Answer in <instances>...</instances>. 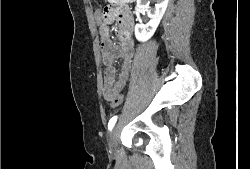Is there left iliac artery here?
<instances>
[{
  "mask_svg": "<svg viewBox=\"0 0 250 169\" xmlns=\"http://www.w3.org/2000/svg\"><path fill=\"white\" fill-rule=\"evenodd\" d=\"M117 121V116L112 117L108 123V130L111 131Z\"/></svg>",
  "mask_w": 250,
  "mask_h": 169,
  "instance_id": "obj_1",
  "label": "left iliac artery"
}]
</instances>
